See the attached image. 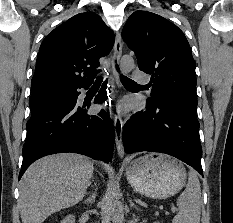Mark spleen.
<instances>
[{"instance_id": "spleen-1", "label": "spleen", "mask_w": 233, "mask_h": 223, "mask_svg": "<svg viewBox=\"0 0 233 223\" xmlns=\"http://www.w3.org/2000/svg\"><path fill=\"white\" fill-rule=\"evenodd\" d=\"M201 187L195 171H190L186 189L177 199L178 213L172 223H200Z\"/></svg>"}]
</instances>
